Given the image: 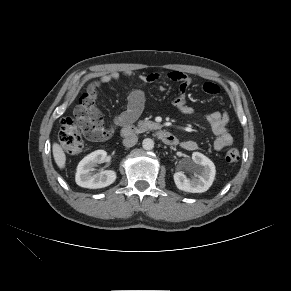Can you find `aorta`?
Masks as SVG:
<instances>
[{"mask_svg":"<svg viewBox=\"0 0 291 291\" xmlns=\"http://www.w3.org/2000/svg\"><path fill=\"white\" fill-rule=\"evenodd\" d=\"M142 146L145 150H152L154 148V141L150 138H146L143 140Z\"/></svg>","mask_w":291,"mask_h":291,"instance_id":"obj_1","label":"aorta"}]
</instances>
